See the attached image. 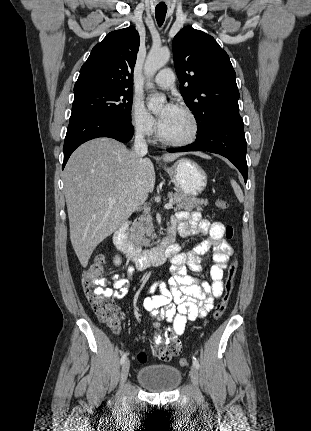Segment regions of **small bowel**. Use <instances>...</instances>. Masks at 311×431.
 Wrapping results in <instances>:
<instances>
[{
  "instance_id": "1",
  "label": "small bowel",
  "mask_w": 311,
  "mask_h": 431,
  "mask_svg": "<svg viewBox=\"0 0 311 431\" xmlns=\"http://www.w3.org/2000/svg\"><path fill=\"white\" fill-rule=\"evenodd\" d=\"M181 237L191 239L204 237L191 250L182 251L179 244L174 245L170 257L173 276L165 282L151 286L150 292L156 289L159 294L148 296L143 300V307L151 315L154 326L159 328L160 322L170 324L164 331V338L177 340L188 323L205 317L213 308L214 300L223 292L224 270L233 248L224 239L225 226L221 222L210 221L202 217L198 211H179L171 220L170 228ZM210 258L213 265L210 268L211 282L192 277L189 271L199 273L202 263ZM134 269L129 268L132 272ZM112 288H101L107 297L122 298L128 292V280L114 275L111 278ZM162 339L158 333L155 340Z\"/></svg>"
}]
</instances>
